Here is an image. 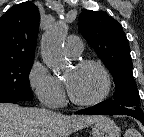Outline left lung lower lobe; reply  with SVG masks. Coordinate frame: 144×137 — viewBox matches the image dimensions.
Here are the masks:
<instances>
[{"instance_id": "0a47b994", "label": "left lung lower lobe", "mask_w": 144, "mask_h": 137, "mask_svg": "<svg viewBox=\"0 0 144 137\" xmlns=\"http://www.w3.org/2000/svg\"><path fill=\"white\" fill-rule=\"evenodd\" d=\"M75 114H106V115H129L138 119L144 125V113L141 109H129L125 107L110 108L104 102L96 106L75 112Z\"/></svg>"}]
</instances>
